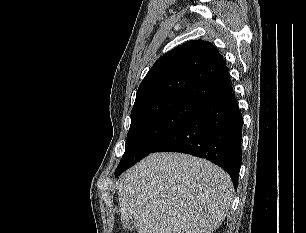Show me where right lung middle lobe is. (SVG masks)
Listing matches in <instances>:
<instances>
[{
	"label": "right lung middle lobe",
	"instance_id": "1",
	"mask_svg": "<svg viewBox=\"0 0 306 233\" xmlns=\"http://www.w3.org/2000/svg\"><path fill=\"white\" fill-rule=\"evenodd\" d=\"M201 107V104L184 98H163L133 110L125 152L115 170V175L119 176L153 152Z\"/></svg>",
	"mask_w": 306,
	"mask_h": 233
}]
</instances>
